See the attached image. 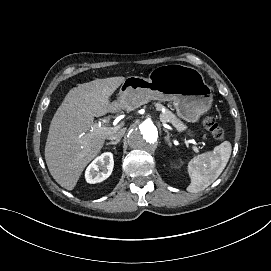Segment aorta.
<instances>
[{
  "label": "aorta",
  "instance_id": "aorta-1",
  "mask_svg": "<svg viewBox=\"0 0 271 271\" xmlns=\"http://www.w3.org/2000/svg\"><path fill=\"white\" fill-rule=\"evenodd\" d=\"M158 130L151 120H136L127 133L129 146L139 152H149L157 144Z\"/></svg>",
  "mask_w": 271,
  "mask_h": 271
}]
</instances>
